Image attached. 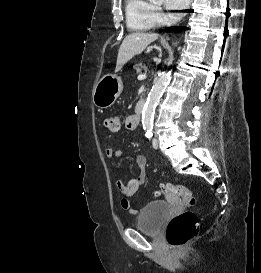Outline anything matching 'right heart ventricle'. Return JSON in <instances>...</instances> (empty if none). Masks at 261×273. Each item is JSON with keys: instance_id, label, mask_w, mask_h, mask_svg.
I'll return each mask as SVG.
<instances>
[{"instance_id": "e07e8e85", "label": "right heart ventricle", "mask_w": 261, "mask_h": 273, "mask_svg": "<svg viewBox=\"0 0 261 273\" xmlns=\"http://www.w3.org/2000/svg\"><path fill=\"white\" fill-rule=\"evenodd\" d=\"M125 13L127 25L132 31L145 32L157 24L149 0H126Z\"/></svg>"}]
</instances>
